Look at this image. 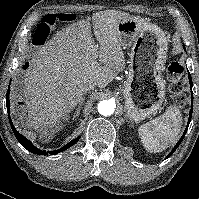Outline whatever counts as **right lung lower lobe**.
<instances>
[{
  "label": "right lung lower lobe",
  "mask_w": 199,
  "mask_h": 199,
  "mask_svg": "<svg viewBox=\"0 0 199 199\" xmlns=\"http://www.w3.org/2000/svg\"><path fill=\"white\" fill-rule=\"evenodd\" d=\"M9 88L10 86L8 87V90H7V96H6V106H7V112H8V116H9V122H10V125L12 127V130L17 138V140L19 141V143L24 147L26 148L28 151H30L31 153L33 154H39V155H46V154H51V155H54V154H57V153H60L68 148H70L72 145H74L78 140L79 138H76L72 141H70L69 143H67L64 147L58 149V150H54V151H43V150H40L38 148H36L31 142L30 140H28L27 138H25L24 136H22L16 129L15 127L13 126L12 122H11V119H10V113H9V108H10V104H9Z\"/></svg>",
  "instance_id": "98d812e1"
}]
</instances>
